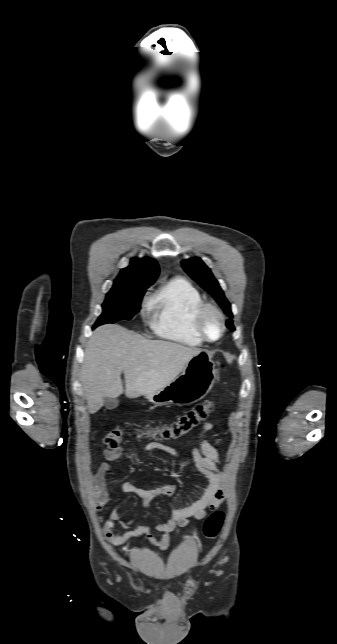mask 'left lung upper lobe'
I'll use <instances>...</instances> for the list:
<instances>
[{"mask_svg": "<svg viewBox=\"0 0 337 644\" xmlns=\"http://www.w3.org/2000/svg\"><path fill=\"white\" fill-rule=\"evenodd\" d=\"M181 264L185 272L204 288L218 302L224 312L232 318L231 305L225 298L218 281L214 278L212 272L204 262L200 258L195 257L183 260ZM227 326L234 329L231 321L227 322Z\"/></svg>", "mask_w": 337, "mask_h": 644, "instance_id": "5c2ea615", "label": "left lung upper lobe"}]
</instances>
